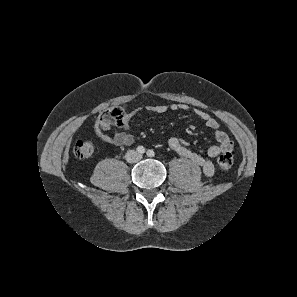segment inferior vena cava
<instances>
[{
    "label": "inferior vena cava",
    "mask_w": 297,
    "mask_h": 297,
    "mask_svg": "<svg viewBox=\"0 0 297 297\" xmlns=\"http://www.w3.org/2000/svg\"><path fill=\"white\" fill-rule=\"evenodd\" d=\"M125 158L128 163H136L142 158V156L137 151L130 150L126 153Z\"/></svg>",
    "instance_id": "inferior-vena-cava-1"
}]
</instances>
